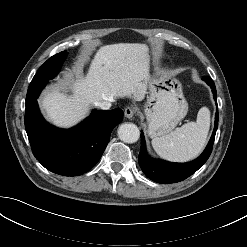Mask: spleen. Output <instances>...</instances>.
I'll return each instance as SVG.
<instances>
[{
  "label": "spleen",
  "instance_id": "obj_1",
  "mask_svg": "<svg viewBox=\"0 0 247 247\" xmlns=\"http://www.w3.org/2000/svg\"><path fill=\"white\" fill-rule=\"evenodd\" d=\"M210 127V111L202 107L195 122L176 128L168 135L154 137L151 141L155 152L173 162H185L197 157L203 150Z\"/></svg>",
  "mask_w": 247,
  "mask_h": 247
}]
</instances>
